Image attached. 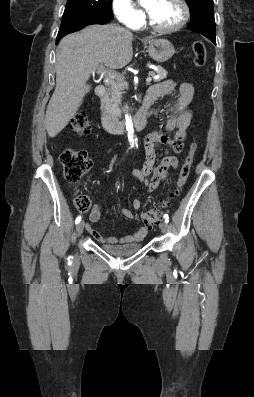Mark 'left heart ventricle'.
<instances>
[{"label": "left heart ventricle", "instance_id": "obj_1", "mask_svg": "<svg viewBox=\"0 0 254 397\" xmlns=\"http://www.w3.org/2000/svg\"><path fill=\"white\" fill-rule=\"evenodd\" d=\"M154 23L160 27H170L179 22L182 10L175 0H150L146 6Z\"/></svg>", "mask_w": 254, "mask_h": 397}]
</instances>
